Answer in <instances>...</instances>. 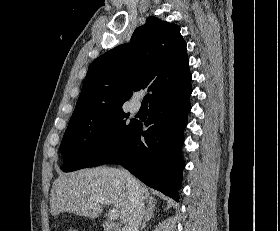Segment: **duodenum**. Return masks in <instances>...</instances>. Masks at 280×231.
Listing matches in <instances>:
<instances>
[{
    "instance_id": "1",
    "label": "duodenum",
    "mask_w": 280,
    "mask_h": 231,
    "mask_svg": "<svg viewBox=\"0 0 280 231\" xmlns=\"http://www.w3.org/2000/svg\"><path fill=\"white\" fill-rule=\"evenodd\" d=\"M101 222L104 231H123V229L120 226L111 222L110 220L103 219Z\"/></svg>"
}]
</instances>
